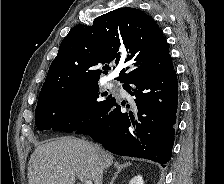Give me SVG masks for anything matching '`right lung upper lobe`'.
<instances>
[{
    "label": "right lung upper lobe",
    "instance_id": "right-lung-upper-lobe-1",
    "mask_svg": "<svg viewBox=\"0 0 224 184\" xmlns=\"http://www.w3.org/2000/svg\"><path fill=\"white\" fill-rule=\"evenodd\" d=\"M119 60L128 65L117 77L124 83L173 66L161 29L136 8H119L97 17L91 26H74L50 65L38 103L70 86L98 82L110 70L107 64Z\"/></svg>",
    "mask_w": 224,
    "mask_h": 184
}]
</instances>
